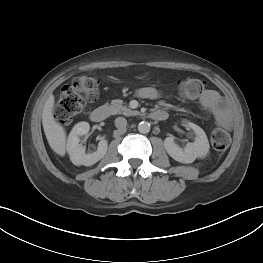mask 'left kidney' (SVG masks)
I'll use <instances>...</instances> for the list:
<instances>
[{"label":"left kidney","instance_id":"5707ae66","mask_svg":"<svg viewBox=\"0 0 263 263\" xmlns=\"http://www.w3.org/2000/svg\"><path fill=\"white\" fill-rule=\"evenodd\" d=\"M195 134V141L187 143L184 148L178 146L174 137L170 136L164 140V146L167 153L176 161L181 163H192L196 158H203L209 152V142L204 130L194 123H187Z\"/></svg>","mask_w":263,"mask_h":263}]
</instances>
